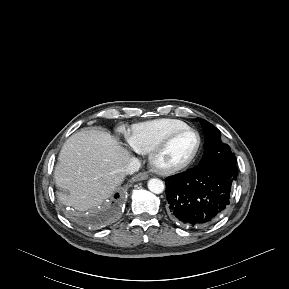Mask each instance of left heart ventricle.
<instances>
[{
	"mask_svg": "<svg viewBox=\"0 0 289 289\" xmlns=\"http://www.w3.org/2000/svg\"><path fill=\"white\" fill-rule=\"evenodd\" d=\"M197 136L186 132L177 136L159 157L163 165H173L189 158L197 146Z\"/></svg>",
	"mask_w": 289,
	"mask_h": 289,
	"instance_id": "obj_1",
	"label": "left heart ventricle"
}]
</instances>
